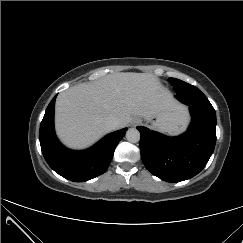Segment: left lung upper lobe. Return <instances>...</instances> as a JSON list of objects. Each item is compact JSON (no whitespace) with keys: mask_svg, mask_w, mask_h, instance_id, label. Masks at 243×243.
<instances>
[{"mask_svg":"<svg viewBox=\"0 0 243 243\" xmlns=\"http://www.w3.org/2000/svg\"><path fill=\"white\" fill-rule=\"evenodd\" d=\"M169 80H170V83L173 85L175 91L182 90V89L186 88L188 85H190V84H188L184 81H181L179 79H176V78H169ZM203 106L212 107L211 103L209 102V100L207 98H205Z\"/></svg>","mask_w":243,"mask_h":243,"instance_id":"1","label":"left lung upper lobe"}]
</instances>
